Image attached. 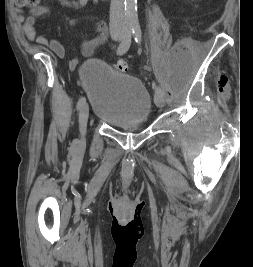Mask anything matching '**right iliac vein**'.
Listing matches in <instances>:
<instances>
[{
  "label": "right iliac vein",
  "instance_id": "obj_1",
  "mask_svg": "<svg viewBox=\"0 0 253 267\" xmlns=\"http://www.w3.org/2000/svg\"><path fill=\"white\" fill-rule=\"evenodd\" d=\"M120 39L121 38L118 37L115 40L118 41ZM88 116H89V106L87 103H85L79 112V128H80V134H81V143L85 142V134H86Z\"/></svg>",
  "mask_w": 253,
  "mask_h": 267
}]
</instances>
